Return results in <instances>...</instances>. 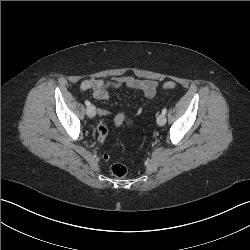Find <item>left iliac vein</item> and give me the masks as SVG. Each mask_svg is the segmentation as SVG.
I'll use <instances>...</instances> for the list:
<instances>
[{"label": "left iliac vein", "mask_w": 250, "mask_h": 250, "mask_svg": "<svg viewBox=\"0 0 250 250\" xmlns=\"http://www.w3.org/2000/svg\"><path fill=\"white\" fill-rule=\"evenodd\" d=\"M157 123H158V125H160V126L165 125V123H166V117H165V115L160 114V115L157 117Z\"/></svg>", "instance_id": "1"}]
</instances>
